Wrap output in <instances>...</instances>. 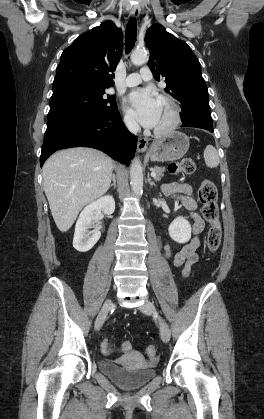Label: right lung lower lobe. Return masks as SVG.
<instances>
[{"mask_svg": "<svg viewBox=\"0 0 264 419\" xmlns=\"http://www.w3.org/2000/svg\"><path fill=\"white\" fill-rule=\"evenodd\" d=\"M136 146L137 136L127 130L118 111L107 114L67 113L47 124L40 164L42 166L59 149L92 147L129 165Z\"/></svg>", "mask_w": 264, "mask_h": 419, "instance_id": "obj_1", "label": "right lung lower lobe"}]
</instances>
